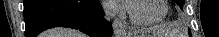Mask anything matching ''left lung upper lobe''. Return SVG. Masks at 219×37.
<instances>
[{
    "label": "left lung upper lobe",
    "mask_w": 219,
    "mask_h": 37,
    "mask_svg": "<svg viewBox=\"0 0 219 37\" xmlns=\"http://www.w3.org/2000/svg\"><path fill=\"white\" fill-rule=\"evenodd\" d=\"M174 1L180 6L181 9L183 8V3L185 0H174Z\"/></svg>",
    "instance_id": "5c2ea615"
}]
</instances>
